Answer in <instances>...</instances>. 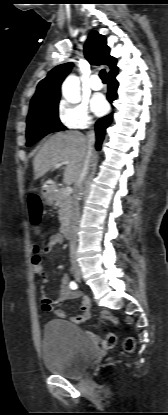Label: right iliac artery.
Listing matches in <instances>:
<instances>
[{"mask_svg": "<svg viewBox=\"0 0 168 415\" xmlns=\"http://www.w3.org/2000/svg\"><path fill=\"white\" fill-rule=\"evenodd\" d=\"M70 287H71V289L75 290V289L78 288V285H77V283L75 281H71L70 282Z\"/></svg>", "mask_w": 168, "mask_h": 415, "instance_id": "82829eb1", "label": "right iliac artery"}]
</instances>
